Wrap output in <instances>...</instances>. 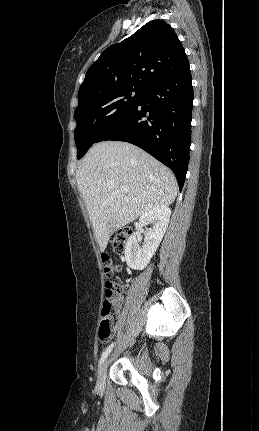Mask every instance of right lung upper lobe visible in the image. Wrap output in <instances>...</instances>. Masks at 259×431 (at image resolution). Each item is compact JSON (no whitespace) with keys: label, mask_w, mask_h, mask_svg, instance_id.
I'll return each mask as SVG.
<instances>
[{"label":"right lung upper lobe","mask_w":259,"mask_h":431,"mask_svg":"<svg viewBox=\"0 0 259 431\" xmlns=\"http://www.w3.org/2000/svg\"><path fill=\"white\" fill-rule=\"evenodd\" d=\"M189 65L174 29L153 20L132 36L108 47L88 69L79 89V103L114 89H147Z\"/></svg>","instance_id":"cb5924a9"}]
</instances>
